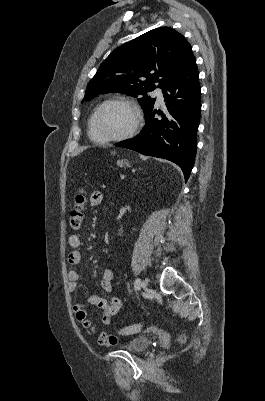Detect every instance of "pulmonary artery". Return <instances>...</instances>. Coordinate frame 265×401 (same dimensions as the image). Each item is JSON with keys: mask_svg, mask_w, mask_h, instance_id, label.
<instances>
[{"mask_svg": "<svg viewBox=\"0 0 265 401\" xmlns=\"http://www.w3.org/2000/svg\"><path fill=\"white\" fill-rule=\"evenodd\" d=\"M153 95L156 96L157 102H158L159 104L163 103V95H162L161 90L155 89V90L153 91Z\"/></svg>", "mask_w": 265, "mask_h": 401, "instance_id": "pulmonary-artery-1", "label": "pulmonary artery"}]
</instances>
